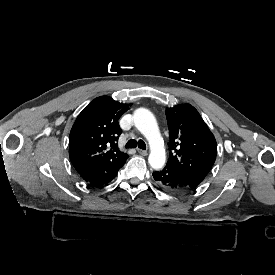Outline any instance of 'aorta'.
<instances>
[{
  "instance_id": "762f6f07",
  "label": "aorta",
  "mask_w": 275,
  "mask_h": 275,
  "mask_svg": "<svg viewBox=\"0 0 275 275\" xmlns=\"http://www.w3.org/2000/svg\"><path fill=\"white\" fill-rule=\"evenodd\" d=\"M135 127L143 134L149 142H154L160 136L157 121L151 111L146 108H138L133 114ZM166 160L165 151L156 145L151 146V153L148 158L150 166L161 169Z\"/></svg>"
}]
</instances>
